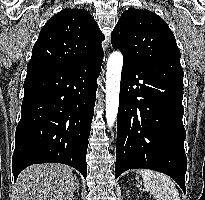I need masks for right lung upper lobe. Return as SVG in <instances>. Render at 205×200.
I'll list each match as a JSON object with an SVG mask.
<instances>
[{"instance_id":"right-lung-upper-lobe-1","label":"right lung upper lobe","mask_w":205,"mask_h":200,"mask_svg":"<svg viewBox=\"0 0 205 200\" xmlns=\"http://www.w3.org/2000/svg\"><path fill=\"white\" fill-rule=\"evenodd\" d=\"M103 39V33L89 12L66 8L40 31L29 64H74L102 56Z\"/></svg>"}]
</instances>
